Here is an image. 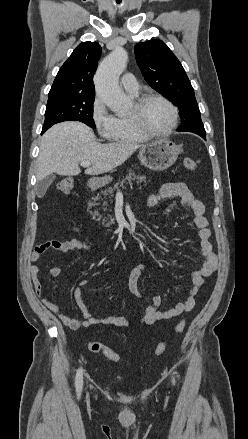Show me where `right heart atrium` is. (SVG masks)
<instances>
[{"instance_id":"d8ad5b80","label":"right heart atrium","mask_w":248,"mask_h":439,"mask_svg":"<svg viewBox=\"0 0 248 439\" xmlns=\"http://www.w3.org/2000/svg\"><path fill=\"white\" fill-rule=\"evenodd\" d=\"M91 117L99 135L102 138L110 139L117 125V117L109 111L102 98L96 97L94 99Z\"/></svg>"}]
</instances>
